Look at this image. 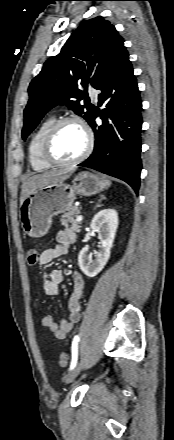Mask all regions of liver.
I'll use <instances>...</instances> for the list:
<instances>
[{"label":"liver","mask_w":174,"mask_h":440,"mask_svg":"<svg viewBox=\"0 0 174 440\" xmlns=\"http://www.w3.org/2000/svg\"><path fill=\"white\" fill-rule=\"evenodd\" d=\"M69 176L65 171H49L42 174L34 175L25 181L22 185V191L20 196V205L23 203L25 198L34 192L36 189L43 186L64 181Z\"/></svg>","instance_id":"liver-1"}]
</instances>
